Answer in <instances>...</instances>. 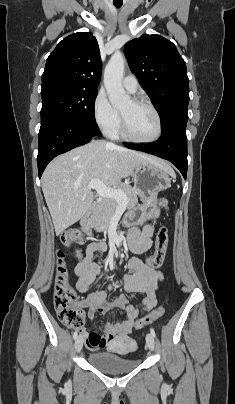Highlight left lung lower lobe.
<instances>
[{"label": "left lung lower lobe", "instance_id": "left-lung-lower-lobe-1", "mask_svg": "<svg viewBox=\"0 0 235 404\" xmlns=\"http://www.w3.org/2000/svg\"><path fill=\"white\" fill-rule=\"evenodd\" d=\"M125 146L169 160L180 170L183 177L186 179L188 166L186 129H176L163 133L159 140L150 145Z\"/></svg>", "mask_w": 235, "mask_h": 404}]
</instances>
